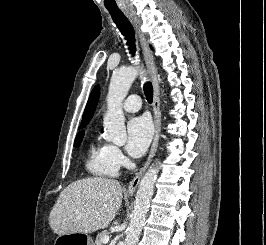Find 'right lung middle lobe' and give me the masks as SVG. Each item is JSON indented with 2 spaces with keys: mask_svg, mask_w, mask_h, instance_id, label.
<instances>
[{
  "mask_svg": "<svg viewBox=\"0 0 266 245\" xmlns=\"http://www.w3.org/2000/svg\"><path fill=\"white\" fill-rule=\"evenodd\" d=\"M85 126H86V125H81V126L79 127V129H81V128L85 127ZM83 137H84V130L80 131V132L77 134L76 139H75V142H74V147H76V148L79 147V145H80L81 142H82Z\"/></svg>",
  "mask_w": 266,
  "mask_h": 245,
  "instance_id": "1",
  "label": "right lung middle lobe"
}]
</instances>
